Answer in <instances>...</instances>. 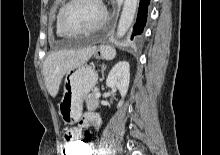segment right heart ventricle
Here are the masks:
<instances>
[{"instance_id": "right-heart-ventricle-1", "label": "right heart ventricle", "mask_w": 220, "mask_h": 155, "mask_svg": "<svg viewBox=\"0 0 220 155\" xmlns=\"http://www.w3.org/2000/svg\"><path fill=\"white\" fill-rule=\"evenodd\" d=\"M55 29H56V34H57L58 36H60V37H65V36H67L66 34L62 33V32L59 30V28H58V26H57V19H56Z\"/></svg>"}]
</instances>
